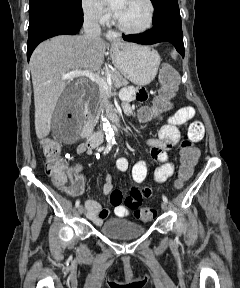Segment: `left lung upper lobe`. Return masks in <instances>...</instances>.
Returning <instances> with one entry per match:
<instances>
[{"mask_svg":"<svg viewBox=\"0 0 240 288\" xmlns=\"http://www.w3.org/2000/svg\"><path fill=\"white\" fill-rule=\"evenodd\" d=\"M155 9L153 24L163 21H181L177 0H151Z\"/></svg>","mask_w":240,"mask_h":288,"instance_id":"obj_1","label":"left lung upper lobe"}]
</instances>
